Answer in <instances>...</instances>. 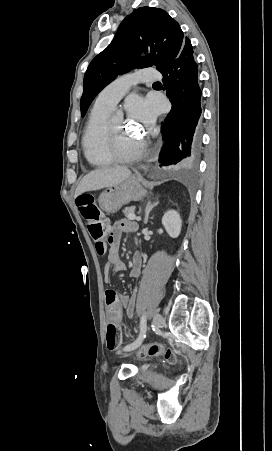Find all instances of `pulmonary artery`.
I'll use <instances>...</instances> for the list:
<instances>
[{"label": "pulmonary artery", "instance_id": "1", "mask_svg": "<svg viewBox=\"0 0 272 451\" xmlns=\"http://www.w3.org/2000/svg\"><path fill=\"white\" fill-rule=\"evenodd\" d=\"M159 74L152 65H146L137 71L131 69L128 75L119 77L104 89L96 98V103L101 106H114L127 94L132 85L139 82L149 85L158 80Z\"/></svg>", "mask_w": 272, "mask_h": 451}]
</instances>
